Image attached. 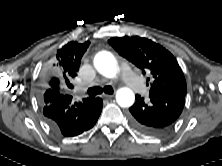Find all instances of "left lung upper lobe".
<instances>
[{
  "mask_svg": "<svg viewBox=\"0 0 222 166\" xmlns=\"http://www.w3.org/2000/svg\"><path fill=\"white\" fill-rule=\"evenodd\" d=\"M109 44L123 57L153 77L149 94L177 92L186 95V81L175 57L161 45L138 36L114 37ZM149 80V78H148Z\"/></svg>",
  "mask_w": 222,
  "mask_h": 166,
  "instance_id": "1",
  "label": "left lung upper lobe"
}]
</instances>
